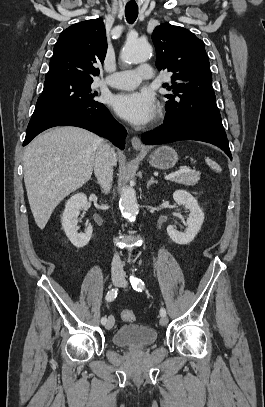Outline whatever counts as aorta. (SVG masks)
Listing matches in <instances>:
<instances>
[{
  "mask_svg": "<svg viewBox=\"0 0 265 407\" xmlns=\"http://www.w3.org/2000/svg\"><path fill=\"white\" fill-rule=\"evenodd\" d=\"M153 49L150 44L137 39H127L122 52L121 59L126 63L145 62L152 56ZM120 209L129 220L135 219L138 213V204L135 191L130 186L122 188L120 197Z\"/></svg>",
  "mask_w": 265,
  "mask_h": 407,
  "instance_id": "obj_1",
  "label": "aorta"
}]
</instances>
